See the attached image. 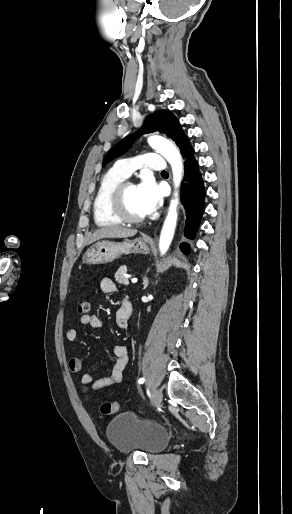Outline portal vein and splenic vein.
Listing matches in <instances>:
<instances>
[{
    "label": "portal vein and splenic vein",
    "instance_id": "obj_1",
    "mask_svg": "<svg viewBox=\"0 0 292 514\" xmlns=\"http://www.w3.org/2000/svg\"><path fill=\"white\" fill-rule=\"evenodd\" d=\"M131 282H133V284H136L137 278H132Z\"/></svg>",
    "mask_w": 292,
    "mask_h": 514
}]
</instances>
